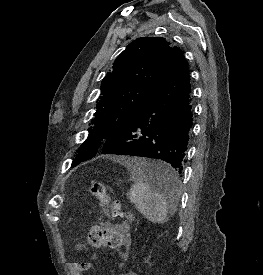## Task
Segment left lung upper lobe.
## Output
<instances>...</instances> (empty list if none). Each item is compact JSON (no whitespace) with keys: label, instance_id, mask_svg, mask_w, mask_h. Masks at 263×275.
Segmentation results:
<instances>
[{"label":"left lung upper lobe","instance_id":"5c2ea615","mask_svg":"<svg viewBox=\"0 0 263 275\" xmlns=\"http://www.w3.org/2000/svg\"><path fill=\"white\" fill-rule=\"evenodd\" d=\"M178 49L162 37H141L116 58L102 81L88 138L71 167L93 158L128 125L165 77Z\"/></svg>","mask_w":263,"mask_h":275}]
</instances>
